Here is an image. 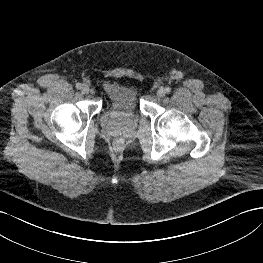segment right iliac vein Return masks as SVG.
<instances>
[{"label": "right iliac vein", "mask_w": 263, "mask_h": 263, "mask_svg": "<svg viewBox=\"0 0 263 263\" xmlns=\"http://www.w3.org/2000/svg\"><path fill=\"white\" fill-rule=\"evenodd\" d=\"M81 91H82V93H84V94H88L89 91H90V88H89L88 85L84 84V85L81 87Z\"/></svg>", "instance_id": "right-iliac-vein-1"}]
</instances>
